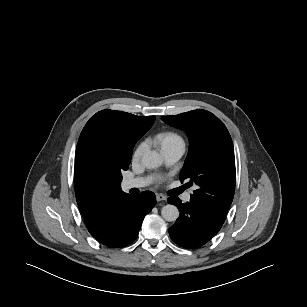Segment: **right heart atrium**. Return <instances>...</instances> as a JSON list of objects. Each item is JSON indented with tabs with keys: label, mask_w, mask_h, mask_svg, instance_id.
<instances>
[{
	"label": "right heart atrium",
	"mask_w": 307,
	"mask_h": 307,
	"mask_svg": "<svg viewBox=\"0 0 307 307\" xmlns=\"http://www.w3.org/2000/svg\"><path fill=\"white\" fill-rule=\"evenodd\" d=\"M145 148H146V143L145 142L140 143L137 146V148L135 149V151L133 153V157L135 159L139 158L142 155V153L144 152Z\"/></svg>",
	"instance_id": "obj_1"
}]
</instances>
